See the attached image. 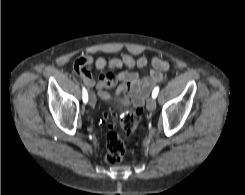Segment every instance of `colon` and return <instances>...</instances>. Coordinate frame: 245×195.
<instances>
[{
  "label": "colon",
  "mask_w": 245,
  "mask_h": 195,
  "mask_svg": "<svg viewBox=\"0 0 245 195\" xmlns=\"http://www.w3.org/2000/svg\"><path fill=\"white\" fill-rule=\"evenodd\" d=\"M142 116L140 107L125 111L119 115L110 114L105 117L109 128L106 142L105 161L109 165H118L125 154L123 136L131 135L138 127Z\"/></svg>",
  "instance_id": "colon-1"
}]
</instances>
